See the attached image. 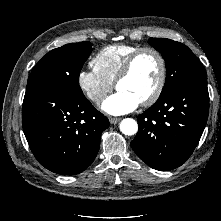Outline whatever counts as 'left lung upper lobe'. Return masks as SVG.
Instances as JSON below:
<instances>
[{
    "label": "left lung upper lobe",
    "instance_id": "5c2ea615",
    "mask_svg": "<svg viewBox=\"0 0 221 221\" xmlns=\"http://www.w3.org/2000/svg\"><path fill=\"white\" fill-rule=\"evenodd\" d=\"M148 43L162 54L166 63V81L160 97L184 83L207 80L205 68L184 44L166 38H150Z\"/></svg>",
    "mask_w": 221,
    "mask_h": 221
}]
</instances>
